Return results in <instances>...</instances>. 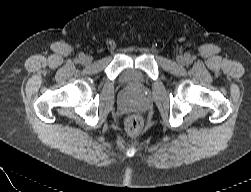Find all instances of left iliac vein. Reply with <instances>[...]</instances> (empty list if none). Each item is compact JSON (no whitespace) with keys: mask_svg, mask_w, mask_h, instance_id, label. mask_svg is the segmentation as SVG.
Masks as SVG:
<instances>
[{"mask_svg":"<svg viewBox=\"0 0 251 192\" xmlns=\"http://www.w3.org/2000/svg\"><path fill=\"white\" fill-rule=\"evenodd\" d=\"M177 62H178L179 64H181V65H184V64L186 63V58L183 57V56H179V57L177 58Z\"/></svg>","mask_w":251,"mask_h":192,"instance_id":"1","label":"left iliac vein"}]
</instances>
